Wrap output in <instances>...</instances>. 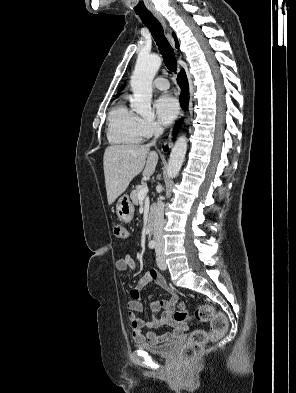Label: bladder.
Wrapping results in <instances>:
<instances>
[{
    "label": "bladder",
    "mask_w": 296,
    "mask_h": 393,
    "mask_svg": "<svg viewBox=\"0 0 296 393\" xmlns=\"http://www.w3.org/2000/svg\"><path fill=\"white\" fill-rule=\"evenodd\" d=\"M137 348L139 350L154 354V355H159V356H170L176 346H177V341L176 340H170L169 342L157 347V346H153L151 344H147V343H138Z\"/></svg>",
    "instance_id": "1"
}]
</instances>
